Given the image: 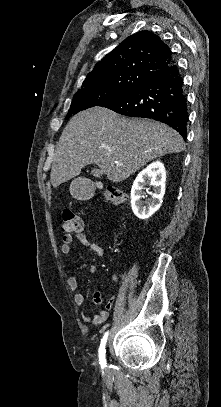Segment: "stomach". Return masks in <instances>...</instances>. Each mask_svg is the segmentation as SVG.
Instances as JSON below:
<instances>
[{
    "mask_svg": "<svg viewBox=\"0 0 221 407\" xmlns=\"http://www.w3.org/2000/svg\"><path fill=\"white\" fill-rule=\"evenodd\" d=\"M70 192L71 194L78 199H84L86 198V190L84 186L82 185V182L80 179L73 180L71 185H70Z\"/></svg>",
    "mask_w": 221,
    "mask_h": 407,
    "instance_id": "0dacf381",
    "label": "stomach"
}]
</instances>
